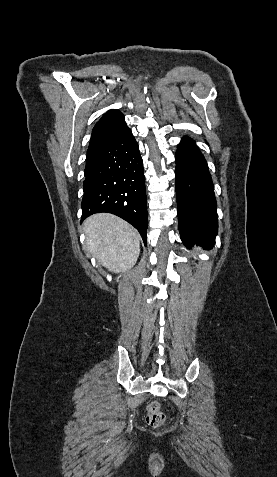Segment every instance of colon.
I'll return each instance as SVG.
<instances>
[{
	"mask_svg": "<svg viewBox=\"0 0 277 477\" xmlns=\"http://www.w3.org/2000/svg\"><path fill=\"white\" fill-rule=\"evenodd\" d=\"M165 421V415L161 410V405L158 401H152L147 406L146 422L151 427H159Z\"/></svg>",
	"mask_w": 277,
	"mask_h": 477,
	"instance_id": "5ec220e1",
	"label": "colon"
}]
</instances>
